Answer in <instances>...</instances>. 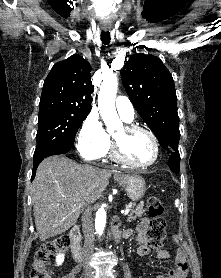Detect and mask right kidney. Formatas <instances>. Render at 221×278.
Masks as SVG:
<instances>
[{
  "label": "right kidney",
  "mask_w": 221,
  "mask_h": 278,
  "mask_svg": "<svg viewBox=\"0 0 221 278\" xmlns=\"http://www.w3.org/2000/svg\"><path fill=\"white\" fill-rule=\"evenodd\" d=\"M64 262V254L63 253H59L56 256V263L57 265H61Z\"/></svg>",
  "instance_id": "1"
}]
</instances>
